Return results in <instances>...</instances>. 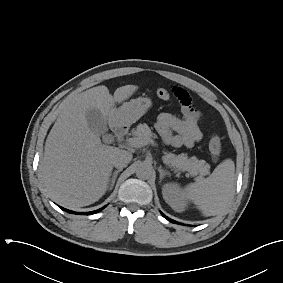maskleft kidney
I'll use <instances>...</instances> for the list:
<instances>
[{
  "label": "left kidney",
  "instance_id": "left-kidney-1",
  "mask_svg": "<svg viewBox=\"0 0 283 283\" xmlns=\"http://www.w3.org/2000/svg\"><path fill=\"white\" fill-rule=\"evenodd\" d=\"M164 200L176 212H182L187 207L185 196L177 183H167L162 188Z\"/></svg>",
  "mask_w": 283,
  "mask_h": 283
}]
</instances>
